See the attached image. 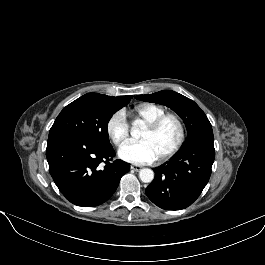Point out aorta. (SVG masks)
Returning a JSON list of instances; mask_svg holds the SVG:
<instances>
[{"label": "aorta", "mask_w": 265, "mask_h": 265, "mask_svg": "<svg viewBox=\"0 0 265 265\" xmlns=\"http://www.w3.org/2000/svg\"><path fill=\"white\" fill-rule=\"evenodd\" d=\"M139 178L144 183H150L154 179V172L149 168H143L139 172Z\"/></svg>", "instance_id": "aorta-1"}]
</instances>
